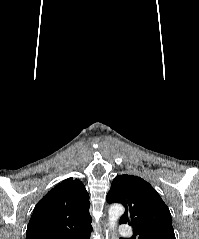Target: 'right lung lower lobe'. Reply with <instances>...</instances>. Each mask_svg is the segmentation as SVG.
I'll list each match as a JSON object with an SVG mask.
<instances>
[{
    "label": "right lung lower lobe",
    "instance_id": "obj_1",
    "mask_svg": "<svg viewBox=\"0 0 199 239\" xmlns=\"http://www.w3.org/2000/svg\"><path fill=\"white\" fill-rule=\"evenodd\" d=\"M91 231H92V226L87 229L82 230L78 234L70 237L69 239H90Z\"/></svg>",
    "mask_w": 199,
    "mask_h": 239
}]
</instances>
